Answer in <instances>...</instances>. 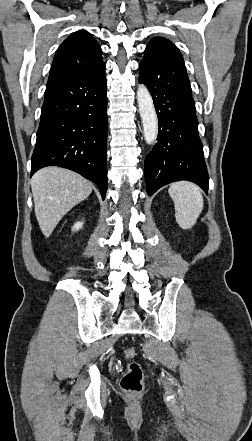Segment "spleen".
Instances as JSON below:
<instances>
[{
  "mask_svg": "<svg viewBox=\"0 0 252 441\" xmlns=\"http://www.w3.org/2000/svg\"><path fill=\"white\" fill-rule=\"evenodd\" d=\"M168 192L174 202L177 223L184 230L191 229L203 210L201 189L194 183L181 181L171 184Z\"/></svg>",
  "mask_w": 252,
  "mask_h": 441,
  "instance_id": "obj_1",
  "label": "spleen"
}]
</instances>
